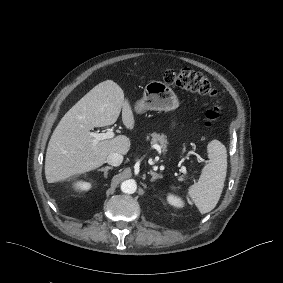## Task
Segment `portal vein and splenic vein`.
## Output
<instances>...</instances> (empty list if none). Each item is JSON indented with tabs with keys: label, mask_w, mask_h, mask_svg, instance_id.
Listing matches in <instances>:
<instances>
[{
	"label": "portal vein and splenic vein",
	"mask_w": 283,
	"mask_h": 283,
	"mask_svg": "<svg viewBox=\"0 0 283 283\" xmlns=\"http://www.w3.org/2000/svg\"><path fill=\"white\" fill-rule=\"evenodd\" d=\"M90 136L93 137V145H96L99 141L113 138L114 137V132L112 130H108L106 133H95V132H90ZM182 173H186L185 167L183 166L181 168Z\"/></svg>",
	"instance_id": "18ae733b"
}]
</instances>
